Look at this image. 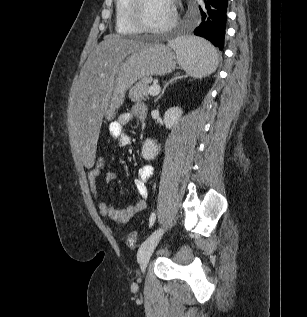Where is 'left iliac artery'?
Returning <instances> with one entry per match:
<instances>
[{
    "label": "left iliac artery",
    "instance_id": "obj_1",
    "mask_svg": "<svg viewBox=\"0 0 307 317\" xmlns=\"http://www.w3.org/2000/svg\"><path fill=\"white\" fill-rule=\"evenodd\" d=\"M155 219H156V214L153 212L149 218V226H153L154 222H155Z\"/></svg>",
    "mask_w": 307,
    "mask_h": 317
}]
</instances>
